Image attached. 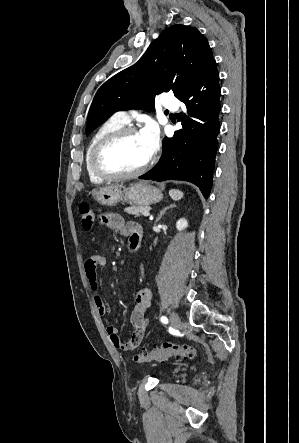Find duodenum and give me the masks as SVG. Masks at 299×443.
Segmentation results:
<instances>
[{"instance_id":"obj_1","label":"duodenum","mask_w":299,"mask_h":443,"mask_svg":"<svg viewBox=\"0 0 299 443\" xmlns=\"http://www.w3.org/2000/svg\"><path fill=\"white\" fill-rule=\"evenodd\" d=\"M140 247V242L138 240L132 241L130 244H128L127 252L129 254L136 252Z\"/></svg>"}]
</instances>
